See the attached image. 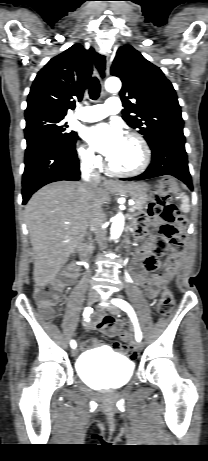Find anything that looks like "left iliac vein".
Wrapping results in <instances>:
<instances>
[{
	"instance_id": "obj_1",
	"label": "left iliac vein",
	"mask_w": 208,
	"mask_h": 461,
	"mask_svg": "<svg viewBox=\"0 0 208 461\" xmlns=\"http://www.w3.org/2000/svg\"><path fill=\"white\" fill-rule=\"evenodd\" d=\"M107 309H108V311H109L110 313H112V314H114V315L119 314V308L116 307V306H114V305H108V306H107ZM135 347H136V349H137L138 351H140V350H142V348H143V343L140 342V341H138V342H136Z\"/></svg>"
}]
</instances>
